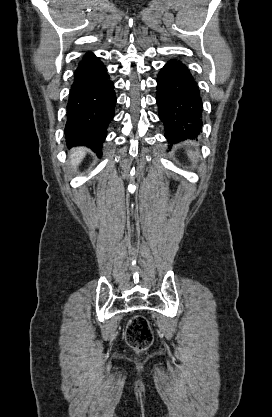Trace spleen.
<instances>
[{"label":"spleen","mask_w":272,"mask_h":417,"mask_svg":"<svg viewBox=\"0 0 272 417\" xmlns=\"http://www.w3.org/2000/svg\"><path fill=\"white\" fill-rule=\"evenodd\" d=\"M196 154L194 152H189V157L195 159Z\"/></svg>","instance_id":"1"}]
</instances>
